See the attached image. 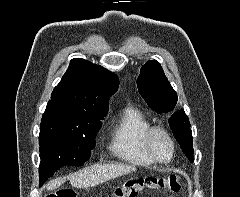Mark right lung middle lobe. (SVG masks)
Here are the masks:
<instances>
[{
  "mask_svg": "<svg viewBox=\"0 0 240 197\" xmlns=\"http://www.w3.org/2000/svg\"><path fill=\"white\" fill-rule=\"evenodd\" d=\"M101 120L42 118L39 135L40 186L65 165L81 166L91 155Z\"/></svg>",
  "mask_w": 240,
  "mask_h": 197,
  "instance_id": "dd1d6c3e",
  "label": "right lung middle lobe"
}]
</instances>
